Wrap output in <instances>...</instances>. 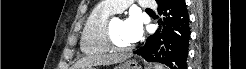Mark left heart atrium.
Instances as JSON below:
<instances>
[{
	"label": "left heart atrium",
	"mask_w": 246,
	"mask_h": 69,
	"mask_svg": "<svg viewBox=\"0 0 246 69\" xmlns=\"http://www.w3.org/2000/svg\"><path fill=\"white\" fill-rule=\"evenodd\" d=\"M124 24L130 42H137L142 35V26L137 13L131 12L129 17L125 20Z\"/></svg>",
	"instance_id": "1"
}]
</instances>
